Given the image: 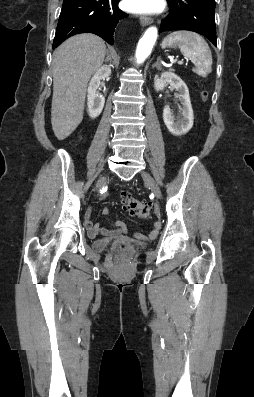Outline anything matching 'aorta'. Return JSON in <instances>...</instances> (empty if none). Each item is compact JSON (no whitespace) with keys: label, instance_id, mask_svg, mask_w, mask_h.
<instances>
[{"label":"aorta","instance_id":"obj_1","mask_svg":"<svg viewBox=\"0 0 254 397\" xmlns=\"http://www.w3.org/2000/svg\"><path fill=\"white\" fill-rule=\"evenodd\" d=\"M157 34V28L150 27L140 39L136 49V59L138 63H142L151 53L157 39Z\"/></svg>","mask_w":254,"mask_h":397}]
</instances>
